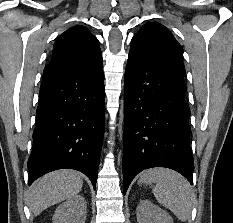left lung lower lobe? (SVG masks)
Instances as JSON below:
<instances>
[{
  "label": "left lung lower lobe",
  "mask_w": 233,
  "mask_h": 223,
  "mask_svg": "<svg viewBox=\"0 0 233 223\" xmlns=\"http://www.w3.org/2000/svg\"><path fill=\"white\" fill-rule=\"evenodd\" d=\"M184 75L131 46L124 77L123 191L144 169L166 167L192 184Z\"/></svg>",
  "instance_id": "left-lung-lower-lobe-1"
}]
</instances>
